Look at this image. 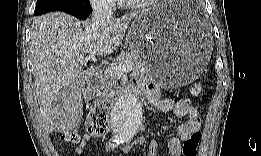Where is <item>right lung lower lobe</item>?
Returning a JSON list of instances; mask_svg holds the SVG:
<instances>
[{
  "instance_id": "obj_1",
  "label": "right lung lower lobe",
  "mask_w": 261,
  "mask_h": 156,
  "mask_svg": "<svg viewBox=\"0 0 261 156\" xmlns=\"http://www.w3.org/2000/svg\"><path fill=\"white\" fill-rule=\"evenodd\" d=\"M92 12L91 6H78L72 10L67 11L66 13H69L71 15H74L78 18L85 19L87 18L90 13Z\"/></svg>"
}]
</instances>
